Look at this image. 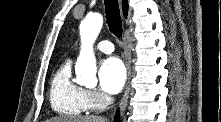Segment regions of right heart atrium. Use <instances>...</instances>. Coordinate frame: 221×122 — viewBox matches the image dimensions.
Masks as SVG:
<instances>
[{
    "label": "right heart atrium",
    "mask_w": 221,
    "mask_h": 122,
    "mask_svg": "<svg viewBox=\"0 0 221 122\" xmlns=\"http://www.w3.org/2000/svg\"><path fill=\"white\" fill-rule=\"evenodd\" d=\"M84 94L89 109H101L109 103V98L97 90H85Z\"/></svg>",
    "instance_id": "right-heart-atrium-1"
}]
</instances>
